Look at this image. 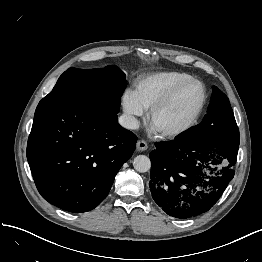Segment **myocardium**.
Masks as SVG:
<instances>
[{
  "label": "myocardium",
  "mask_w": 262,
  "mask_h": 262,
  "mask_svg": "<svg viewBox=\"0 0 262 262\" xmlns=\"http://www.w3.org/2000/svg\"><path fill=\"white\" fill-rule=\"evenodd\" d=\"M198 84L201 88H202V99L201 102L196 110V112L193 114V116L189 119V121L187 123H185L183 126L176 128L174 130H169V131H162L160 132V136L162 138H167V139H173V138H177L180 137L182 135H184L185 133H187L188 131H190L198 122V120L200 119L204 108L206 106L207 103V90L206 87L204 86V84L194 78H190L187 80H184L180 83H178L177 85H175L173 88H171L160 100H158L149 110L148 113V121L149 123L152 122L154 116L163 108H165L172 100L173 98L176 96V94L183 89L185 86L189 85V84Z\"/></svg>",
  "instance_id": "obj_1"
}]
</instances>
